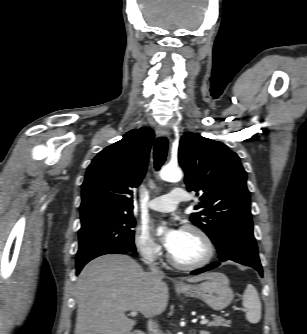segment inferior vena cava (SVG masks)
I'll return each instance as SVG.
<instances>
[{
  "label": "inferior vena cava",
  "instance_id": "1",
  "mask_svg": "<svg viewBox=\"0 0 307 334\" xmlns=\"http://www.w3.org/2000/svg\"><path fill=\"white\" fill-rule=\"evenodd\" d=\"M150 271H151V274L155 277H162L163 275V272L160 270V268L152 263L150 264ZM157 323L156 321H154L153 319H149L148 321V329L150 332H153V333H156L157 332Z\"/></svg>",
  "mask_w": 307,
  "mask_h": 334
}]
</instances>
